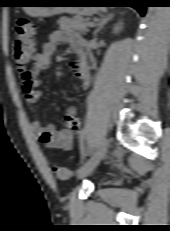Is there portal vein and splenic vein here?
<instances>
[{"label":"portal vein and splenic vein","mask_w":170,"mask_h":231,"mask_svg":"<svg viewBox=\"0 0 170 231\" xmlns=\"http://www.w3.org/2000/svg\"><path fill=\"white\" fill-rule=\"evenodd\" d=\"M93 25H94V23H92V22L89 23V26H93Z\"/></svg>","instance_id":"1"}]
</instances>
